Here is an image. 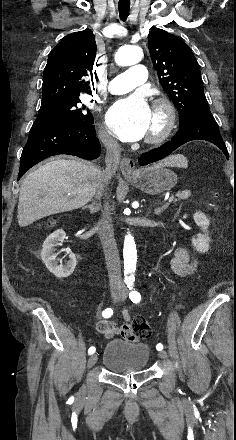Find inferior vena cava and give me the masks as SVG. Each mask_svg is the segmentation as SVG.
<instances>
[{"label": "inferior vena cava", "mask_w": 236, "mask_h": 440, "mask_svg": "<svg viewBox=\"0 0 236 440\" xmlns=\"http://www.w3.org/2000/svg\"><path fill=\"white\" fill-rule=\"evenodd\" d=\"M100 139L106 147V169L101 173L97 187L96 197L106 195L105 187L116 172L121 156V148L118 142L107 133L100 135ZM109 203L105 201L104 210L99 221V236L104 250L105 260L108 269L109 283L112 289L123 288L124 283L121 276L119 252L114 238V229L110 217Z\"/></svg>", "instance_id": "1"}]
</instances>
